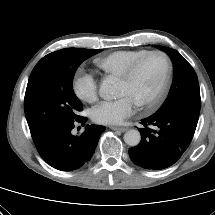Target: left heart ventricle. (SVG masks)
Wrapping results in <instances>:
<instances>
[{"instance_id": "b2bd125f", "label": "left heart ventricle", "mask_w": 215, "mask_h": 215, "mask_svg": "<svg viewBox=\"0 0 215 215\" xmlns=\"http://www.w3.org/2000/svg\"><path fill=\"white\" fill-rule=\"evenodd\" d=\"M165 72V61L150 56L139 66L129 81H119L118 94L129 95L136 104L149 100L159 88Z\"/></svg>"}]
</instances>
